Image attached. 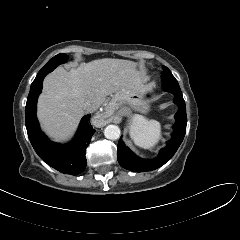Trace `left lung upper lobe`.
Segmentation results:
<instances>
[{
  "mask_svg": "<svg viewBox=\"0 0 240 240\" xmlns=\"http://www.w3.org/2000/svg\"><path fill=\"white\" fill-rule=\"evenodd\" d=\"M161 79L163 83H172V84L178 83L167 67H164L163 73L161 75Z\"/></svg>",
  "mask_w": 240,
  "mask_h": 240,
  "instance_id": "1",
  "label": "left lung upper lobe"
}]
</instances>
